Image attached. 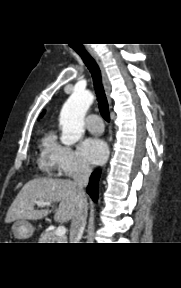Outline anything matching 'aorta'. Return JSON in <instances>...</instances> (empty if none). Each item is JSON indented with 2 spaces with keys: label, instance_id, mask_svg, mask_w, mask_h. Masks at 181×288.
<instances>
[{
  "label": "aorta",
  "instance_id": "762f6f07",
  "mask_svg": "<svg viewBox=\"0 0 181 288\" xmlns=\"http://www.w3.org/2000/svg\"><path fill=\"white\" fill-rule=\"evenodd\" d=\"M93 100L94 96L89 91L75 90L64 104L59 119L64 145H73L81 139L84 117Z\"/></svg>",
  "mask_w": 181,
  "mask_h": 288
}]
</instances>
